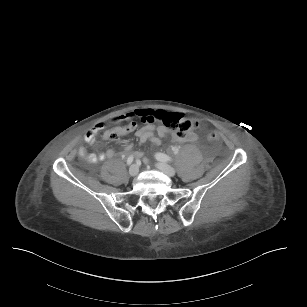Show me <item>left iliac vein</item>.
I'll return each mask as SVG.
<instances>
[{"label": "left iliac vein", "mask_w": 307, "mask_h": 307, "mask_svg": "<svg viewBox=\"0 0 307 307\" xmlns=\"http://www.w3.org/2000/svg\"><path fill=\"white\" fill-rule=\"evenodd\" d=\"M156 166L159 170H161L164 174H166L169 177H173L176 174V170L172 166L164 162H159Z\"/></svg>", "instance_id": "obj_1"}]
</instances>
